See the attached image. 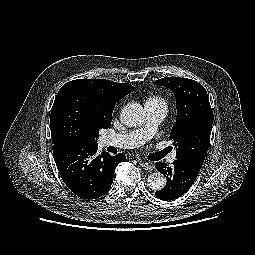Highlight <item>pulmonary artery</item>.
<instances>
[{
    "label": "pulmonary artery",
    "instance_id": "pulmonary-artery-1",
    "mask_svg": "<svg viewBox=\"0 0 255 255\" xmlns=\"http://www.w3.org/2000/svg\"><path fill=\"white\" fill-rule=\"evenodd\" d=\"M145 123L139 128L122 133L107 135L104 143L120 148H135L145 144L154 135L158 125L167 114V107L160 104H145ZM176 159L175 153L168 157V162L173 163Z\"/></svg>",
    "mask_w": 255,
    "mask_h": 255
}]
</instances>
